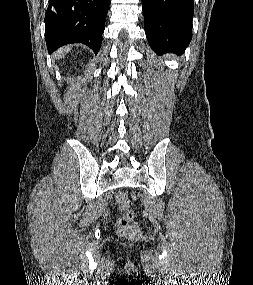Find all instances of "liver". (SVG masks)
<instances>
[{
	"mask_svg": "<svg viewBox=\"0 0 253 285\" xmlns=\"http://www.w3.org/2000/svg\"><path fill=\"white\" fill-rule=\"evenodd\" d=\"M68 51H69V48H65V49L59 50V51L56 53L55 57L62 58V57L64 56V54H65L66 52H68Z\"/></svg>",
	"mask_w": 253,
	"mask_h": 285,
	"instance_id": "1",
	"label": "liver"
}]
</instances>
